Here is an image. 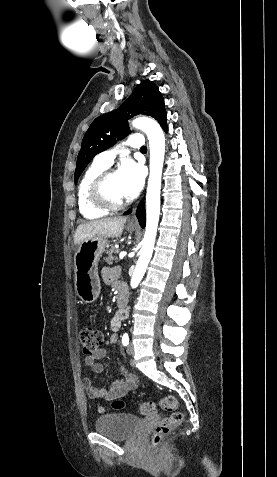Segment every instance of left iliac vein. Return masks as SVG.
<instances>
[{
    "instance_id": "1",
    "label": "left iliac vein",
    "mask_w": 277,
    "mask_h": 477,
    "mask_svg": "<svg viewBox=\"0 0 277 477\" xmlns=\"http://www.w3.org/2000/svg\"><path fill=\"white\" fill-rule=\"evenodd\" d=\"M127 353L129 355H133L134 354V346L132 343H130L128 346H127Z\"/></svg>"
}]
</instances>
